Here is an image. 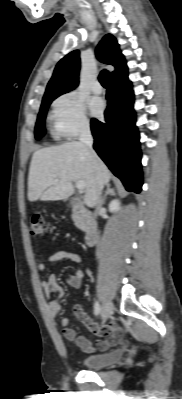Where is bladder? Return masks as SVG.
Masks as SVG:
<instances>
[{
  "instance_id": "obj_1",
  "label": "bladder",
  "mask_w": 182,
  "mask_h": 399,
  "mask_svg": "<svg viewBox=\"0 0 182 399\" xmlns=\"http://www.w3.org/2000/svg\"><path fill=\"white\" fill-rule=\"evenodd\" d=\"M123 354L124 351L118 348L107 353L86 356L81 359V363L87 369H100L120 360Z\"/></svg>"
}]
</instances>
